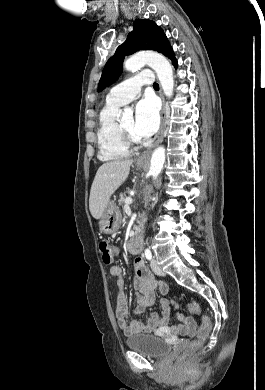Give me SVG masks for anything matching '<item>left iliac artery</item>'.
<instances>
[{"label":"left iliac artery","mask_w":265,"mask_h":390,"mask_svg":"<svg viewBox=\"0 0 265 390\" xmlns=\"http://www.w3.org/2000/svg\"><path fill=\"white\" fill-rule=\"evenodd\" d=\"M145 257L150 260L152 258V253L150 251V249H146L145 250Z\"/></svg>","instance_id":"1"}]
</instances>
